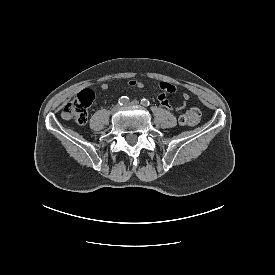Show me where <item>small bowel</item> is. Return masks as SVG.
<instances>
[{
    "instance_id": "small-bowel-1",
    "label": "small bowel",
    "mask_w": 275,
    "mask_h": 275,
    "mask_svg": "<svg viewBox=\"0 0 275 275\" xmlns=\"http://www.w3.org/2000/svg\"><path fill=\"white\" fill-rule=\"evenodd\" d=\"M129 85L132 86V87H136V88H143L144 87V83L139 81V80H131L129 82ZM100 88L102 90H106L107 89V85L106 84H102L100 86ZM177 93V88L170 84V83H167V82H162L160 85H159V90H158V94H157V100L158 102L160 103L161 106H163L164 108L166 109H172V106L169 102V100L167 99V94H175ZM181 99H182V102L179 106H177L175 108L176 111H181L185 108L186 106V103L187 101L189 100V95L187 93H182L181 94Z\"/></svg>"
}]
</instances>
